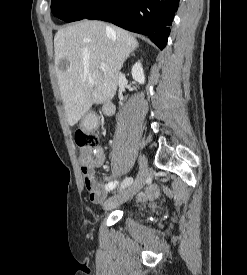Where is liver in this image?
Segmentation results:
<instances>
[{
  "instance_id": "6515ba94",
  "label": "liver",
  "mask_w": 247,
  "mask_h": 275,
  "mask_svg": "<svg viewBox=\"0 0 247 275\" xmlns=\"http://www.w3.org/2000/svg\"><path fill=\"white\" fill-rule=\"evenodd\" d=\"M138 47L128 31L100 21H81L54 37L55 70L68 124L74 126L96 104L112 99L118 73ZM108 70H99L100 64Z\"/></svg>"
}]
</instances>
